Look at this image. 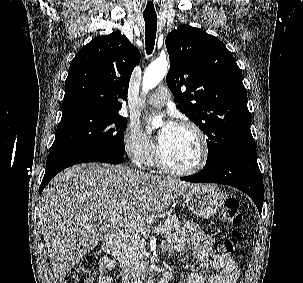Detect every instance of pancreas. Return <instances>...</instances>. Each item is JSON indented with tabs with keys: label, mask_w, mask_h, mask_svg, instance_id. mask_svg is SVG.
<instances>
[{
	"label": "pancreas",
	"mask_w": 303,
	"mask_h": 283,
	"mask_svg": "<svg viewBox=\"0 0 303 283\" xmlns=\"http://www.w3.org/2000/svg\"><path fill=\"white\" fill-rule=\"evenodd\" d=\"M166 222L168 224L161 226L163 228V237L179 231L180 225L176 215H169ZM147 236V230L142 226H132L123 230L115 245L114 256L124 270L132 269L144 262Z\"/></svg>",
	"instance_id": "1"
}]
</instances>
